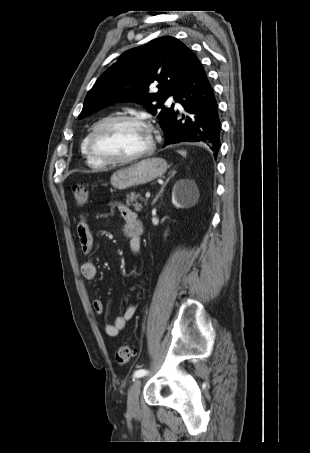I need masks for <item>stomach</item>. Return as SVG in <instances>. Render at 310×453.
Returning <instances> with one entry per match:
<instances>
[{
  "label": "stomach",
  "instance_id": "stomach-1",
  "mask_svg": "<svg viewBox=\"0 0 310 453\" xmlns=\"http://www.w3.org/2000/svg\"><path fill=\"white\" fill-rule=\"evenodd\" d=\"M168 168L163 158L143 159L129 167L117 170L111 176V185L118 190L147 184L162 176Z\"/></svg>",
  "mask_w": 310,
  "mask_h": 453
}]
</instances>
